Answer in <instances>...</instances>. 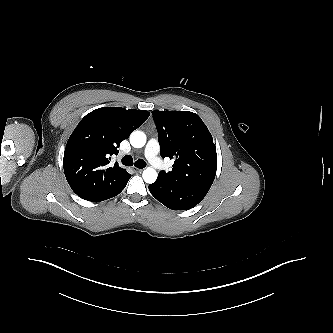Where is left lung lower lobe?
<instances>
[{
    "label": "left lung lower lobe",
    "mask_w": 333,
    "mask_h": 333,
    "mask_svg": "<svg viewBox=\"0 0 333 333\" xmlns=\"http://www.w3.org/2000/svg\"><path fill=\"white\" fill-rule=\"evenodd\" d=\"M151 194L172 210H187L196 206L206 196V190L173 183L167 176L160 175L149 185Z\"/></svg>",
    "instance_id": "obj_1"
}]
</instances>
